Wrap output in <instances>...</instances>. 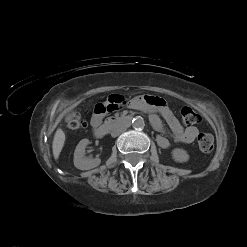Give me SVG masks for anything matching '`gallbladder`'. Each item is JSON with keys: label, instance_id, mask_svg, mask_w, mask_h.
Segmentation results:
<instances>
[{"label": "gallbladder", "instance_id": "obj_1", "mask_svg": "<svg viewBox=\"0 0 247 247\" xmlns=\"http://www.w3.org/2000/svg\"><path fill=\"white\" fill-rule=\"evenodd\" d=\"M71 118V115H69L68 117H67V119H70Z\"/></svg>", "mask_w": 247, "mask_h": 247}]
</instances>
